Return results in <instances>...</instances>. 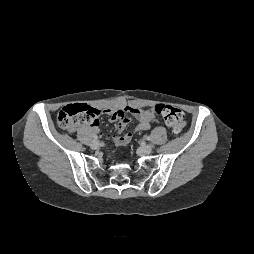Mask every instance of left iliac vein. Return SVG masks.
I'll use <instances>...</instances> for the list:
<instances>
[{
    "instance_id": "4c4485c4",
    "label": "left iliac vein",
    "mask_w": 254,
    "mask_h": 254,
    "mask_svg": "<svg viewBox=\"0 0 254 254\" xmlns=\"http://www.w3.org/2000/svg\"><path fill=\"white\" fill-rule=\"evenodd\" d=\"M141 152L144 154H150L152 152V146L149 144H144L141 146Z\"/></svg>"
}]
</instances>
